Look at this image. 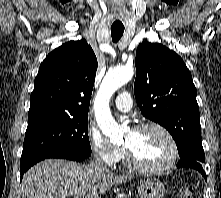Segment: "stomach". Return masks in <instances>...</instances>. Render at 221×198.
I'll return each instance as SVG.
<instances>
[{
    "instance_id": "stomach-1",
    "label": "stomach",
    "mask_w": 221,
    "mask_h": 198,
    "mask_svg": "<svg viewBox=\"0 0 221 198\" xmlns=\"http://www.w3.org/2000/svg\"><path fill=\"white\" fill-rule=\"evenodd\" d=\"M164 193L163 184L156 179H145L138 186L139 198H163Z\"/></svg>"
}]
</instances>
